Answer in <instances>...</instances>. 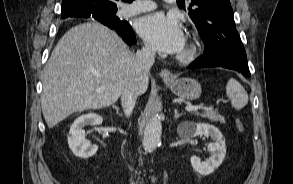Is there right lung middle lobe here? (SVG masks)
I'll list each match as a JSON object with an SVG mask.
<instances>
[{
	"instance_id": "1",
	"label": "right lung middle lobe",
	"mask_w": 293,
	"mask_h": 184,
	"mask_svg": "<svg viewBox=\"0 0 293 184\" xmlns=\"http://www.w3.org/2000/svg\"><path fill=\"white\" fill-rule=\"evenodd\" d=\"M79 5L81 8L87 11H95V10H103L104 4L100 1H94V0H82L79 2ZM117 12V9H114L110 12H107L106 15L111 18H117L115 16V13Z\"/></svg>"
}]
</instances>
